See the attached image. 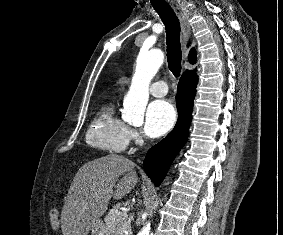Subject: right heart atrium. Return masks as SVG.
<instances>
[{"mask_svg":"<svg viewBox=\"0 0 283 235\" xmlns=\"http://www.w3.org/2000/svg\"><path fill=\"white\" fill-rule=\"evenodd\" d=\"M129 141L138 142L140 140V133L136 128L128 127Z\"/></svg>","mask_w":283,"mask_h":235,"instance_id":"right-heart-atrium-1","label":"right heart atrium"}]
</instances>
